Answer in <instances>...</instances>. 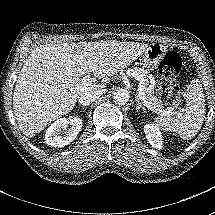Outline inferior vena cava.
Here are the masks:
<instances>
[{"label":"inferior vena cava","instance_id":"1","mask_svg":"<svg viewBox=\"0 0 215 215\" xmlns=\"http://www.w3.org/2000/svg\"><path fill=\"white\" fill-rule=\"evenodd\" d=\"M105 93L104 89L97 90L94 93H84L80 98H79V103L83 106L90 105L93 101L96 99L100 98L103 94Z\"/></svg>","mask_w":215,"mask_h":215}]
</instances>
